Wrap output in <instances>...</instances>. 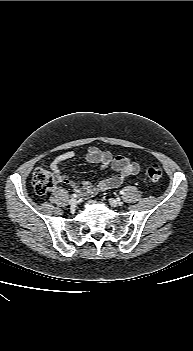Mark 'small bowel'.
I'll use <instances>...</instances> for the list:
<instances>
[{
	"label": "small bowel",
	"mask_w": 193,
	"mask_h": 351,
	"mask_svg": "<svg viewBox=\"0 0 193 351\" xmlns=\"http://www.w3.org/2000/svg\"><path fill=\"white\" fill-rule=\"evenodd\" d=\"M75 156L73 151H65L56 156L50 164V169L59 183L70 186L76 193L83 197H93L99 192L120 186L129 177L139 172V165L132 162L124 155L113 156L109 151H103L97 147L88 149L85 159L91 164H97L105 169L110 167L115 175L100 180L97 184L88 181L78 183L65 175L62 171V164Z\"/></svg>",
	"instance_id": "c3829d8e"
}]
</instances>
